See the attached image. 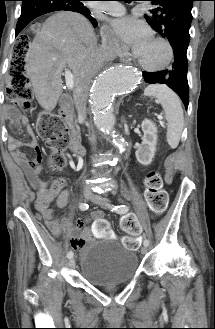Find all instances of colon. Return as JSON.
I'll return each mask as SVG.
<instances>
[{
  "label": "colon",
  "mask_w": 215,
  "mask_h": 329,
  "mask_svg": "<svg viewBox=\"0 0 215 329\" xmlns=\"http://www.w3.org/2000/svg\"><path fill=\"white\" fill-rule=\"evenodd\" d=\"M14 43L8 80L9 102L6 103V108L28 110L31 90L25 74V58L29 44H34L35 38L21 35L14 38ZM37 129L39 135L53 150L49 158L51 167L57 171L63 169L66 164L63 151L69 141L63 120L55 113L44 112L39 117ZM145 185V198L150 209L155 212L156 217H166L167 194L163 189L159 173L155 170L148 172ZM122 229L126 233L123 239L124 245L130 249L137 248L139 243L137 236L141 230L137 218L133 215L125 217L122 221Z\"/></svg>",
  "instance_id": "colon-1"
}]
</instances>
